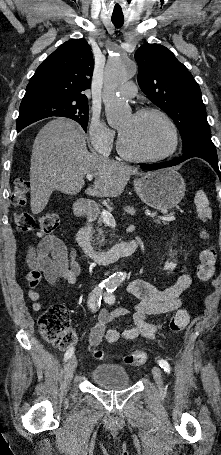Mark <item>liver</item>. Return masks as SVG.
<instances>
[{"label":"liver","mask_w":221,"mask_h":455,"mask_svg":"<svg viewBox=\"0 0 221 455\" xmlns=\"http://www.w3.org/2000/svg\"><path fill=\"white\" fill-rule=\"evenodd\" d=\"M87 174L95 176L94 185L85 193L96 197L119 196L137 169L124 163L90 153L86 135L75 121L58 117L37 134L31 155L30 206L39 214L53 191L67 195L79 193Z\"/></svg>","instance_id":"liver-1"}]
</instances>
